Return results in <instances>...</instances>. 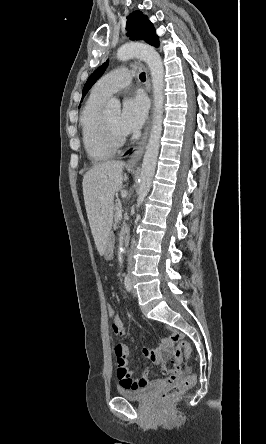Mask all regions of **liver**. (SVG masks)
<instances>
[{"instance_id": "obj_1", "label": "liver", "mask_w": 266, "mask_h": 444, "mask_svg": "<svg viewBox=\"0 0 266 444\" xmlns=\"http://www.w3.org/2000/svg\"><path fill=\"white\" fill-rule=\"evenodd\" d=\"M122 161H107L93 166L83 177V196L91 232L100 255L111 233L114 194L128 179Z\"/></svg>"}]
</instances>
